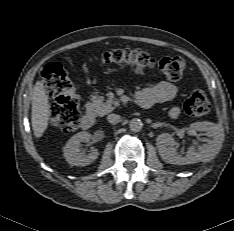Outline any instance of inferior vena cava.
I'll list each match as a JSON object with an SVG mask.
<instances>
[{
	"instance_id": "602c4592",
	"label": "inferior vena cava",
	"mask_w": 234,
	"mask_h": 231,
	"mask_svg": "<svg viewBox=\"0 0 234 231\" xmlns=\"http://www.w3.org/2000/svg\"><path fill=\"white\" fill-rule=\"evenodd\" d=\"M119 119H120V116L117 114H109L107 116L108 122H110L112 124L116 123Z\"/></svg>"
}]
</instances>
